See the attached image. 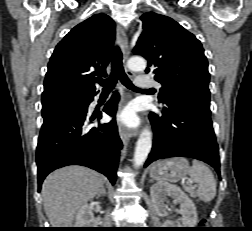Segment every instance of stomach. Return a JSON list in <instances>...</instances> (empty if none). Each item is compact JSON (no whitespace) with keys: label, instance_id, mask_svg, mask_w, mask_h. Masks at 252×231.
Instances as JSON below:
<instances>
[{"label":"stomach","instance_id":"1","mask_svg":"<svg viewBox=\"0 0 252 231\" xmlns=\"http://www.w3.org/2000/svg\"><path fill=\"white\" fill-rule=\"evenodd\" d=\"M189 172L188 161L183 157H175L153 164L150 176L158 181L177 182L187 176Z\"/></svg>","mask_w":252,"mask_h":231}]
</instances>
